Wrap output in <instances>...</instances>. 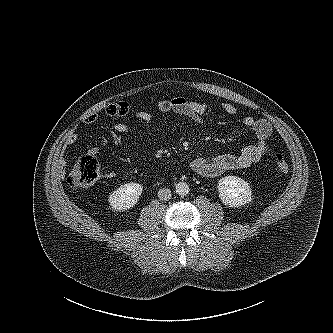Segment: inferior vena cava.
<instances>
[{
  "label": "inferior vena cava",
  "instance_id": "1",
  "mask_svg": "<svg viewBox=\"0 0 333 333\" xmlns=\"http://www.w3.org/2000/svg\"><path fill=\"white\" fill-rule=\"evenodd\" d=\"M158 198L161 201H167L171 198V191L167 188H162L158 191Z\"/></svg>",
  "mask_w": 333,
  "mask_h": 333
}]
</instances>
